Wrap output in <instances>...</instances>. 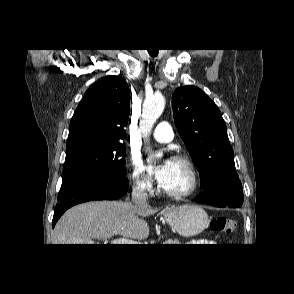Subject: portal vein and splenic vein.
I'll return each mask as SVG.
<instances>
[{"mask_svg":"<svg viewBox=\"0 0 294 294\" xmlns=\"http://www.w3.org/2000/svg\"><path fill=\"white\" fill-rule=\"evenodd\" d=\"M111 244L132 245V244H140V243L131 239L117 238V239H113L111 241Z\"/></svg>","mask_w":294,"mask_h":294,"instance_id":"obj_1","label":"portal vein and splenic vein"}]
</instances>
